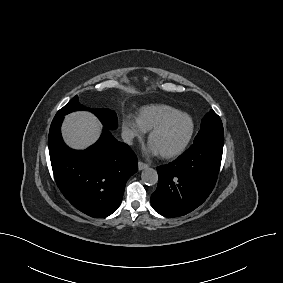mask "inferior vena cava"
<instances>
[{
  "label": "inferior vena cava",
  "instance_id": "inferior-vena-cava-1",
  "mask_svg": "<svg viewBox=\"0 0 283 283\" xmlns=\"http://www.w3.org/2000/svg\"><path fill=\"white\" fill-rule=\"evenodd\" d=\"M122 136V139L125 143L127 144H132V141H133V138H134V135L131 131L129 130H124L121 134Z\"/></svg>",
  "mask_w": 283,
  "mask_h": 283
}]
</instances>
